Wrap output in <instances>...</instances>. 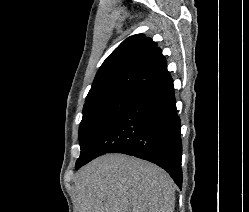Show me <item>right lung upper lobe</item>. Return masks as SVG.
I'll return each instance as SVG.
<instances>
[{"label":"right lung upper lobe","instance_id":"1","mask_svg":"<svg viewBox=\"0 0 249 212\" xmlns=\"http://www.w3.org/2000/svg\"><path fill=\"white\" fill-rule=\"evenodd\" d=\"M169 78L166 59L157 43L143 34L133 35L124 40L101 65L86 100L110 92L140 95Z\"/></svg>","mask_w":249,"mask_h":212}]
</instances>
